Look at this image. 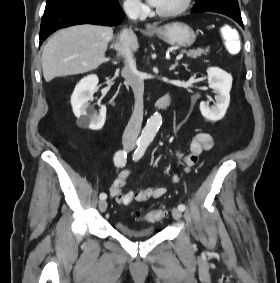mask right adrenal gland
Instances as JSON below:
<instances>
[{"mask_svg":"<svg viewBox=\"0 0 280 283\" xmlns=\"http://www.w3.org/2000/svg\"><path fill=\"white\" fill-rule=\"evenodd\" d=\"M106 61H112L113 64H117L118 63L117 61H113L110 58L106 59Z\"/></svg>","mask_w":280,"mask_h":283,"instance_id":"2a0ac1e0","label":"right adrenal gland"}]
</instances>
